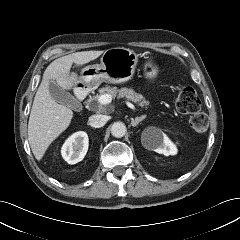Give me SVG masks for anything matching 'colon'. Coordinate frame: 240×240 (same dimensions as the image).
I'll use <instances>...</instances> for the list:
<instances>
[{
  "mask_svg": "<svg viewBox=\"0 0 240 240\" xmlns=\"http://www.w3.org/2000/svg\"><path fill=\"white\" fill-rule=\"evenodd\" d=\"M176 107L182 114L188 115L190 127L204 133L208 128V117L201 111V99L196 90L189 86L179 87L176 93Z\"/></svg>",
  "mask_w": 240,
  "mask_h": 240,
  "instance_id": "colon-1",
  "label": "colon"
}]
</instances>
